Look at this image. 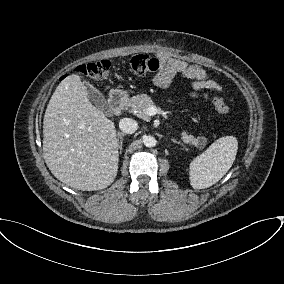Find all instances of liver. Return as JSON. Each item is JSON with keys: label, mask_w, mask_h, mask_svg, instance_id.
<instances>
[{"label": "liver", "mask_w": 284, "mask_h": 284, "mask_svg": "<svg viewBox=\"0 0 284 284\" xmlns=\"http://www.w3.org/2000/svg\"><path fill=\"white\" fill-rule=\"evenodd\" d=\"M43 157L51 173L83 191L108 187L118 171L114 122L89 100L77 74L63 79L43 120Z\"/></svg>", "instance_id": "obj_1"}]
</instances>
